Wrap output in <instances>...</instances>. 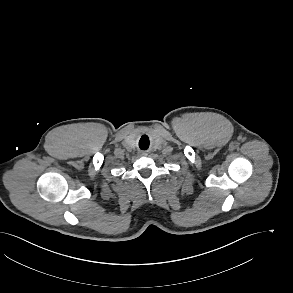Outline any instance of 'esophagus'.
<instances>
[{
  "mask_svg": "<svg viewBox=\"0 0 293 293\" xmlns=\"http://www.w3.org/2000/svg\"><path fill=\"white\" fill-rule=\"evenodd\" d=\"M141 155H145V153L144 152H141Z\"/></svg>",
  "mask_w": 293,
  "mask_h": 293,
  "instance_id": "34e87169",
  "label": "esophagus"
}]
</instances>
